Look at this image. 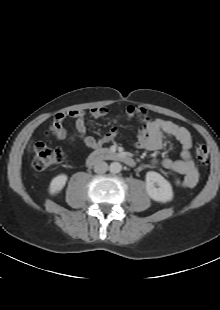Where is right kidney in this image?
<instances>
[{
	"label": "right kidney",
	"instance_id": "right-kidney-1",
	"mask_svg": "<svg viewBox=\"0 0 220 310\" xmlns=\"http://www.w3.org/2000/svg\"><path fill=\"white\" fill-rule=\"evenodd\" d=\"M67 175L66 174H59L56 177H54L49 186V193L51 195H55L59 193L65 186L67 182Z\"/></svg>",
	"mask_w": 220,
	"mask_h": 310
}]
</instances>
